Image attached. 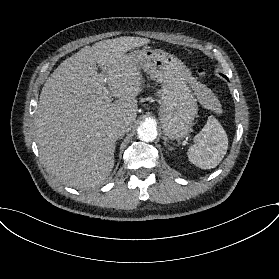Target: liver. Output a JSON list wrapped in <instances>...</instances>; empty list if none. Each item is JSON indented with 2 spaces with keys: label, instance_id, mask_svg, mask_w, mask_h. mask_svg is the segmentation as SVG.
Returning a JSON list of instances; mask_svg holds the SVG:
<instances>
[{
  "label": "liver",
  "instance_id": "obj_1",
  "mask_svg": "<svg viewBox=\"0 0 279 279\" xmlns=\"http://www.w3.org/2000/svg\"><path fill=\"white\" fill-rule=\"evenodd\" d=\"M150 43L128 36L85 46L47 79L35 113V133L41 156L64 184L88 189L107 183L115 163L112 129L117 124L130 129L144 86L141 63L129 51ZM188 80L199 99L202 85L193 77ZM106 83L118 99L113 103L102 92Z\"/></svg>",
  "mask_w": 279,
  "mask_h": 279
}]
</instances>
